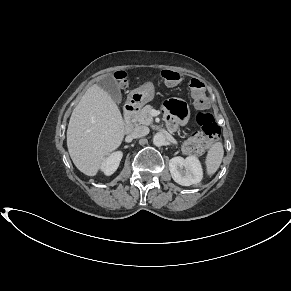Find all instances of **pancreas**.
Segmentation results:
<instances>
[{
    "label": "pancreas",
    "mask_w": 291,
    "mask_h": 291,
    "mask_svg": "<svg viewBox=\"0 0 291 291\" xmlns=\"http://www.w3.org/2000/svg\"><path fill=\"white\" fill-rule=\"evenodd\" d=\"M151 105H146L143 107L135 116L134 121L138 122L139 124L143 125H150L153 121V117L151 116L150 112L152 110Z\"/></svg>",
    "instance_id": "1"
}]
</instances>
